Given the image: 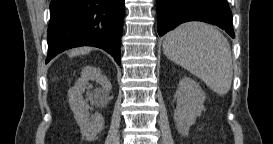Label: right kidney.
Masks as SVG:
<instances>
[{
  "label": "right kidney",
  "instance_id": "right-kidney-1",
  "mask_svg": "<svg viewBox=\"0 0 273 144\" xmlns=\"http://www.w3.org/2000/svg\"><path fill=\"white\" fill-rule=\"evenodd\" d=\"M89 81H96L101 85V88L90 90L91 84ZM111 89V85L105 76L101 75L99 69L87 66L83 69L81 78L76 82L74 87L69 90V103L74 118L80 127L81 133L87 140L92 141L104 127V118L100 113H95L92 117L88 112V105L83 99L82 94L85 90L88 95L94 96L97 99H106Z\"/></svg>",
  "mask_w": 273,
  "mask_h": 144
}]
</instances>
